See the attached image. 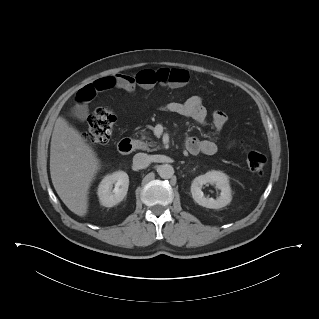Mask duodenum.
I'll return each mask as SVG.
<instances>
[{"label": "duodenum", "instance_id": "410a0bca", "mask_svg": "<svg viewBox=\"0 0 319 319\" xmlns=\"http://www.w3.org/2000/svg\"><path fill=\"white\" fill-rule=\"evenodd\" d=\"M133 149V141L129 138H124L118 143V150L121 154H128Z\"/></svg>", "mask_w": 319, "mask_h": 319}]
</instances>
